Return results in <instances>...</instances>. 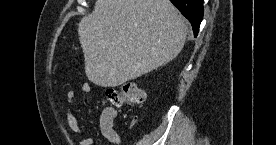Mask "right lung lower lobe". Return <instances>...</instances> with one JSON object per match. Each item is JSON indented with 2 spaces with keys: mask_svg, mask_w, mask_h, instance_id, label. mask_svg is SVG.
<instances>
[{
  "mask_svg": "<svg viewBox=\"0 0 276 145\" xmlns=\"http://www.w3.org/2000/svg\"><path fill=\"white\" fill-rule=\"evenodd\" d=\"M180 12L190 21L194 36L199 31L203 19V0H170Z\"/></svg>",
  "mask_w": 276,
  "mask_h": 145,
  "instance_id": "obj_1",
  "label": "right lung lower lobe"
}]
</instances>
